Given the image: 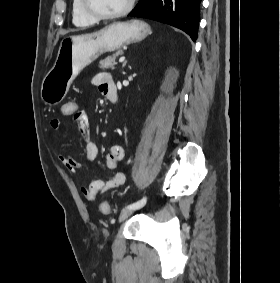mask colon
<instances>
[{"mask_svg": "<svg viewBox=\"0 0 280 283\" xmlns=\"http://www.w3.org/2000/svg\"><path fill=\"white\" fill-rule=\"evenodd\" d=\"M60 111L61 116H75L76 112H81V107H79L77 99H66L65 103H62ZM100 211L103 215H109L112 209L107 202H103L100 205Z\"/></svg>", "mask_w": 280, "mask_h": 283, "instance_id": "obj_1", "label": "colon"}]
</instances>
